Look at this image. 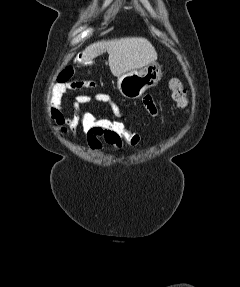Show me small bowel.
I'll return each mask as SVG.
<instances>
[{
    "instance_id": "small-bowel-1",
    "label": "small bowel",
    "mask_w": 240,
    "mask_h": 287,
    "mask_svg": "<svg viewBox=\"0 0 240 287\" xmlns=\"http://www.w3.org/2000/svg\"><path fill=\"white\" fill-rule=\"evenodd\" d=\"M63 95L60 92L59 87L54 84L51 88L49 96V112L52 119L55 121L57 132L60 136L71 135L75 140H77V130L79 129L77 125L74 124L70 115L65 112L63 103ZM83 101L85 103L90 102H101L110 105L112 110L116 113L118 117L123 116V112L119 109L113 98L106 93H95L91 95H84ZM142 103L146 111L153 117H159L160 111L153 99L149 94L144 95L142 98ZM87 144L91 150L94 152H101L103 144H108L114 147L116 150H120L123 146L121 141H114L110 139H105L97 135H86Z\"/></svg>"
}]
</instances>
